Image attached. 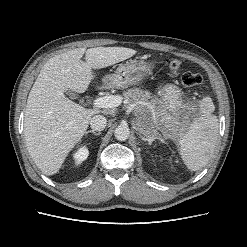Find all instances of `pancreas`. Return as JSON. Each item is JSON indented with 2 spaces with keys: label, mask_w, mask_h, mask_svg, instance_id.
Returning a JSON list of instances; mask_svg holds the SVG:
<instances>
[{
  "label": "pancreas",
  "mask_w": 247,
  "mask_h": 247,
  "mask_svg": "<svg viewBox=\"0 0 247 247\" xmlns=\"http://www.w3.org/2000/svg\"><path fill=\"white\" fill-rule=\"evenodd\" d=\"M124 99L126 104H134V111L137 114L143 113L144 108L149 105L155 116L162 117L163 119L170 118L169 114L158 104L157 100L152 99L148 91H143L140 88H131L124 92Z\"/></svg>",
  "instance_id": "pancreas-1"
}]
</instances>
